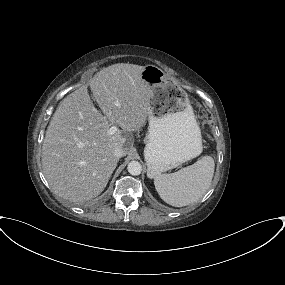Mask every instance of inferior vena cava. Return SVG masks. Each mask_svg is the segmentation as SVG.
Instances as JSON below:
<instances>
[{
	"label": "inferior vena cava",
	"mask_w": 285,
	"mask_h": 285,
	"mask_svg": "<svg viewBox=\"0 0 285 285\" xmlns=\"http://www.w3.org/2000/svg\"><path fill=\"white\" fill-rule=\"evenodd\" d=\"M126 153L125 151L123 150V148L121 147H117L115 150H114V155L116 158H121L122 156H124Z\"/></svg>",
	"instance_id": "obj_1"
}]
</instances>
